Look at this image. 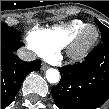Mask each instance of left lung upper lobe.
I'll return each instance as SVG.
<instances>
[{
    "mask_svg": "<svg viewBox=\"0 0 109 109\" xmlns=\"http://www.w3.org/2000/svg\"><path fill=\"white\" fill-rule=\"evenodd\" d=\"M95 22L100 29L102 41L108 42L109 41V28L103 25L102 23H100L96 18H95Z\"/></svg>",
    "mask_w": 109,
    "mask_h": 109,
    "instance_id": "1",
    "label": "left lung upper lobe"
}]
</instances>
